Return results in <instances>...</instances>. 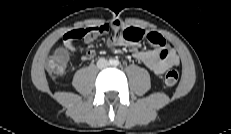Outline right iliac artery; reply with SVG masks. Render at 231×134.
<instances>
[{
    "label": "right iliac artery",
    "mask_w": 231,
    "mask_h": 134,
    "mask_svg": "<svg viewBox=\"0 0 231 134\" xmlns=\"http://www.w3.org/2000/svg\"><path fill=\"white\" fill-rule=\"evenodd\" d=\"M109 63H110V64H114V60L110 59V60H109Z\"/></svg>",
    "instance_id": "obj_1"
}]
</instances>
